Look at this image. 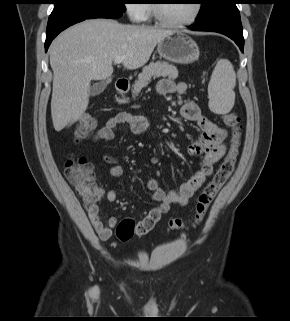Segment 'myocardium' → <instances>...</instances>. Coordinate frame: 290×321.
I'll return each mask as SVG.
<instances>
[{
	"label": "myocardium",
	"instance_id": "f54148a6",
	"mask_svg": "<svg viewBox=\"0 0 290 321\" xmlns=\"http://www.w3.org/2000/svg\"><path fill=\"white\" fill-rule=\"evenodd\" d=\"M162 2H163V0H154L151 5V8H152L153 16H154L155 20L157 21V23L159 25L165 26V27H183V26L191 25L192 23H194L197 20V18L199 17V15L201 13V9H202V4L200 3L199 0H196L194 12L189 19L183 20V21H172V20L167 19L163 15L162 8H161Z\"/></svg>",
	"mask_w": 290,
	"mask_h": 321
}]
</instances>
